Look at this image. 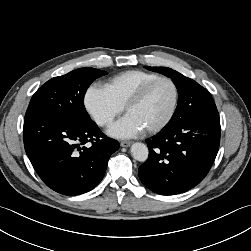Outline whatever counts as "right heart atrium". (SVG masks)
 I'll return each instance as SVG.
<instances>
[{"instance_id":"obj_1","label":"right heart atrium","mask_w":251,"mask_h":251,"mask_svg":"<svg viewBox=\"0 0 251 251\" xmlns=\"http://www.w3.org/2000/svg\"><path fill=\"white\" fill-rule=\"evenodd\" d=\"M84 107L100 127H109L123 111L121 106L104 86L91 85L84 94Z\"/></svg>"}]
</instances>
